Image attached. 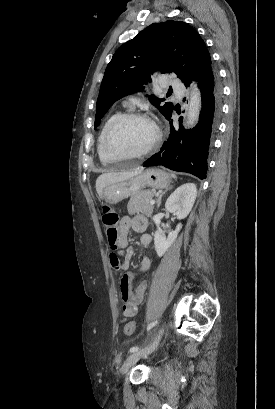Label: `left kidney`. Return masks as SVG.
<instances>
[{
  "label": "left kidney",
  "mask_w": 275,
  "mask_h": 409,
  "mask_svg": "<svg viewBox=\"0 0 275 409\" xmlns=\"http://www.w3.org/2000/svg\"><path fill=\"white\" fill-rule=\"evenodd\" d=\"M196 196L197 188L194 182H186V184H181V186H178V188H176V190L170 194L169 198H167L165 202V209H167L169 213H175V215H177V219H185V217L189 215L194 205ZM180 229H182L181 223L177 225L175 231H171V233H169L167 239L163 233L156 231L154 235V245L158 257H163L166 251H168L169 247L173 245L175 239H177Z\"/></svg>",
  "instance_id": "1"
}]
</instances>
